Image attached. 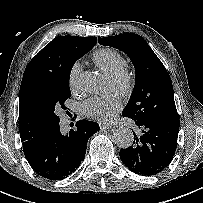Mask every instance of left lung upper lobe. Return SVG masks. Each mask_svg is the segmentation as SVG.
Segmentation results:
<instances>
[{"label": "left lung upper lobe", "instance_id": "5c2ea615", "mask_svg": "<svg viewBox=\"0 0 203 203\" xmlns=\"http://www.w3.org/2000/svg\"><path fill=\"white\" fill-rule=\"evenodd\" d=\"M101 45L126 53L136 72L135 86L122 114L134 121H179L170 76L148 43L138 34L98 37Z\"/></svg>", "mask_w": 203, "mask_h": 203}]
</instances>
